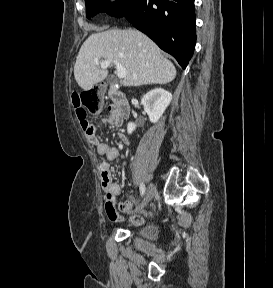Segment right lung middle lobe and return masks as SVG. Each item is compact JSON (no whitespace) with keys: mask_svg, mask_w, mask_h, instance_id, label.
<instances>
[{"mask_svg":"<svg viewBox=\"0 0 273 288\" xmlns=\"http://www.w3.org/2000/svg\"><path fill=\"white\" fill-rule=\"evenodd\" d=\"M136 0H118L115 3L109 0H85L86 16L90 18L97 12H106L110 16L123 17L134 6Z\"/></svg>","mask_w":273,"mask_h":288,"instance_id":"right-lung-middle-lobe-1","label":"right lung middle lobe"}]
</instances>
